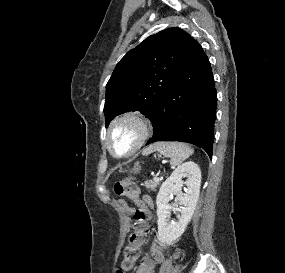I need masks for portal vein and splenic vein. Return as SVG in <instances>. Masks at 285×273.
<instances>
[{"instance_id":"obj_1","label":"portal vein and splenic vein","mask_w":285,"mask_h":273,"mask_svg":"<svg viewBox=\"0 0 285 273\" xmlns=\"http://www.w3.org/2000/svg\"><path fill=\"white\" fill-rule=\"evenodd\" d=\"M154 179H155V180H159L158 174L155 175Z\"/></svg>"}]
</instances>
